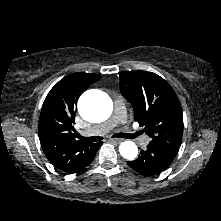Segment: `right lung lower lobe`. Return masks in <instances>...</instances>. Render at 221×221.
Wrapping results in <instances>:
<instances>
[{
    "instance_id": "obj_1",
    "label": "right lung lower lobe",
    "mask_w": 221,
    "mask_h": 221,
    "mask_svg": "<svg viewBox=\"0 0 221 221\" xmlns=\"http://www.w3.org/2000/svg\"><path fill=\"white\" fill-rule=\"evenodd\" d=\"M101 145H102V142H98V143L93 144V147L91 148V151L88 154V156L85 158L83 165L77 171H81L82 169H84L86 166H88L92 162V160L95 157L96 151L98 150V148ZM77 171H75V172H77Z\"/></svg>"
}]
</instances>
